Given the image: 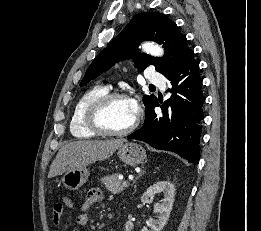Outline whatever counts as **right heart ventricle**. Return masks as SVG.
I'll return each instance as SVG.
<instances>
[{
    "instance_id": "1",
    "label": "right heart ventricle",
    "mask_w": 261,
    "mask_h": 231,
    "mask_svg": "<svg viewBox=\"0 0 261 231\" xmlns=\"http://www.w3.org/2000/svg\"><path fill=\"white\" fill-rule=\"evenodd\" d=\"M109 89L105 86H96L87 91L76 103L70 118V131L76 138H91L97 133L91 131L86 124V113L89 106L97 99L107 94Z\"/></svg>"
}]
</instances>
